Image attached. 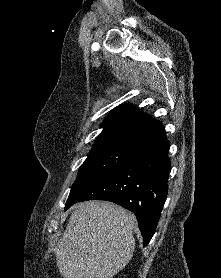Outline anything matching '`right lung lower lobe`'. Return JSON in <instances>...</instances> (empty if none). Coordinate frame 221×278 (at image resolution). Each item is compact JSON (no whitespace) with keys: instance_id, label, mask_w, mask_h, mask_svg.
<instances>
[{"instance_id":"right-lung-lower-lobe-1","label":"right lung lower lobe","mask_w":221,"mask_h":278,"mask_svg":"<svg viewBox=\"0 0 221 278\" xmlns=\"http://www.w3.org/2000/svg\"><path fill=\"white\" fill-rule=\"evenodd\" d=\"M169 147L166 139L135 147L127 161L94 183L76 202L106 200L132 211L146 246L155 233L167 198Z\"/></svg>"}]
</instances>
